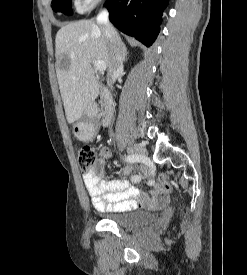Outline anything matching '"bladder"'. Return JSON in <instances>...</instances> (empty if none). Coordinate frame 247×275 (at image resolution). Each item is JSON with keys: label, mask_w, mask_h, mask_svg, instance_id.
I'll return each mask as SVG.
<instances>
[{"label": "bladder", "mask_w": 247, "mask_h": 275, "mask_svg": "<svg viewBox=\"0 0 247 275\" xmlns=\"http://www.w3.org/2000/svg\"><path fill=\"white\" fill-rule=\"evenodd\" d=\"M100 214H104V211L98 210ZM107 220L122 227L150 225L155 221V214L147 210H132L114 214Z\"/></svg>", "instance_id": "31cf9c89"}]
</instances>
